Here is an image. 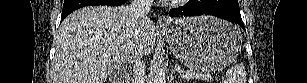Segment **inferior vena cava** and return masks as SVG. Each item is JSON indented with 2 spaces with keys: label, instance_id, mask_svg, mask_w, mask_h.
<instances>
[{
  "label": "inferior vena cava",
  "instance_id": "obj_1",
  "mask_svg": "<svg viewBox=\"0 0 307 83\" xmlns=\"http://www.w3.org/2000/svg\"><path fill=\"white\" fill-rule=\"evenodd\" d=\"M152 6V0H133L129 6V12L134 19L133 27L136 33L144 24L149 22L147 14ZM143 54L137 45L130 50L129 60L133 65V83H144L145 64Z\"/></svg>",
  "mask_w": 307,
  "mask_h": 83
}]
</instances>
